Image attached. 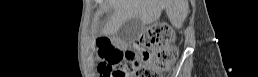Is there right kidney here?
Wrapping results in <instances>:
<instances>
[{"instance_id":"ca27d5eb","label":"right kidney","mask_w":258,"mask_h":77,"mask_svg":"<svg viewBox=\"0 0 258 77\" xmlns=\"http://www.w3.org/2000/svg\"><path fill=\"white\" fill-rule=\"evenodd\" d=\"M180 25H181V24H178V25L175 24L176 27H179Z\"/></svg>"}]
</instances>
